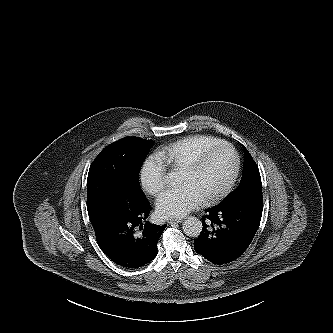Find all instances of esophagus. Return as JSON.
Masks as SVG:
<instances>
[{
  "mask_svg": "<svg viewBox=\"0 0 333 333\" xmlns=\"http://www.w3.org/2000/svg\"><path fill=\"white\" fill-rule=\"evenodd\" d=\"M182 221V219H180V218H171V219H169L168 220V223L169 224H172V223H179V222H181Z\"/></svg>",
  "mask_w": 333,
  "mask_h": 333,
  "instance_id": "34e87169",
  "label": "esophagus"
}]
</instances>
